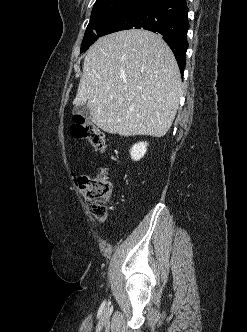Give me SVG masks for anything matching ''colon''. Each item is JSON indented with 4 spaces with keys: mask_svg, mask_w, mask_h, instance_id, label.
Instances as JSON below:
<instances>
[{
    "mask_svg": "<svg viewBox=\"0 0 247 332\" xmlns=\"http://www.w3.org/2000/svg\"><path fill=\"white\" fill-rule=\"evenodd\" d=\"M75 138L86 140L98 152L106 150V140L100 129L83 116H75L71 125ZM79 191L87 201L93 215L103 221L108 214V203L112 194V179L106 169L78 178Z\"/></svg>",
    "mask_w": 247,
    "mask_h": 332,
    "instance_id": "5ec220e1",
    "label": "colon"
}]
</instances>
